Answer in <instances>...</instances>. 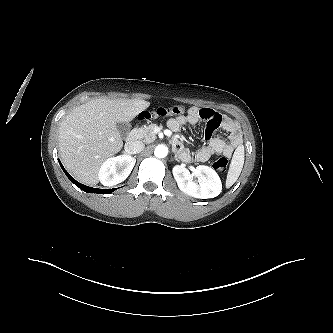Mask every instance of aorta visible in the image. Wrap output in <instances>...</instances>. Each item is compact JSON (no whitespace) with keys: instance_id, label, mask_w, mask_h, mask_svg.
Instances as JSON below:
<instances>
[{"instance_id":"762f6f07","label":"aorta","mask_w":333,"mask_h":333,"mask_svg":"<svg viewBox=\"0 0 333 333\" xmlns=\"http://www.w3.org/2000/svg\"><path fill=\"white\" fill-rule=\"evenodd\" d=\"M154 154L158 158H164V157H166L167 154H168V148H167V146H165L163 144L157 145L156 148H155Z\"/></svg>"}]
</instances>
